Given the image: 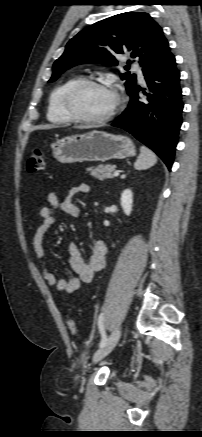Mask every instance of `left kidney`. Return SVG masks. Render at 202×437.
<instances>
[{
	"label": "left kidney",
	"mask_w": 202,
	"mask_h": 437,
	"mask_svg": "<svg viewBox=\"0 0 202 437\" xmlns=\"http://www.w3.org/2000/svg\"><path fill=\"white\" fill-rule=\"evenodd\" d=\"M121 207L124 213L129 216L133 206V193L130 189H125L121 194Z\"/></svg>",
	"instance_id": "1"
}]
</instances>
